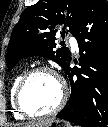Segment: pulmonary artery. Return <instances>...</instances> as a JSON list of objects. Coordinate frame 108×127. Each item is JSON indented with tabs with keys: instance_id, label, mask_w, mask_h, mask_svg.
<instances>
[{
	"instance_id": "e3ab8cb5",
	"label": "pulmonary artery",
	"mask_w": 108,
	"mask_h": 127,
	"mask_svg": "<svg viewBox=\"0 0 108 127\" xmlns=\"http://www.w3.org/2000/svg\"><path fill=\"white\" fill-rule=\"evenodd\" d=\"M69 43L73 52L78 51V43L75 37H69Z\"/></svg>"
}]
</instances>
